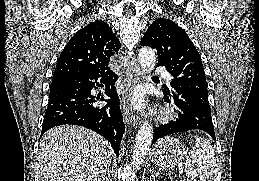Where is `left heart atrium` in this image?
<instances>
[{"mask_svg": "<svg viewBox=\"0 0 259 181\" xmlns=\"http://www.w3.org/2000/svg\"><path fill=\"white\" fill-rule=\"evenodd\" d=\"M129 99L134 107L138 108L142 106V98L139 93H133Z\"/></svg>", "mask_w": 259, "mask_h": 181, "instance_id": "1", "label": "left heart atrium"}]
</instances>
